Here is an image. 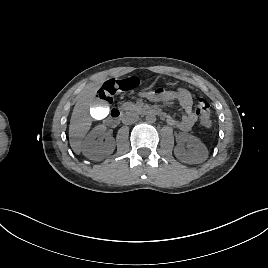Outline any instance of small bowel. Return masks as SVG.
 I'll return each mask as SVG.
<instances>
[{
    "instance_id": "obj_1",
    "label": "small bowel",
    "mask_w": 268,
    "mask_h": 268,
    "mask_svg": "<svg viewBox=\"0 0 268 268\" xmlns=\"http://www.w3.org/2000/svg\"><path fill=\"white\" fill-rule=\"evenodd\" d=\"M142 97L152 102H169L176 100L184 111L180 119L170 115L166 116L167 123L181 131H189L198 119L197 113L193 110V97L185 88H176L173 90L157 89L141 93Z\"/></svg>"
}]
</instances>
